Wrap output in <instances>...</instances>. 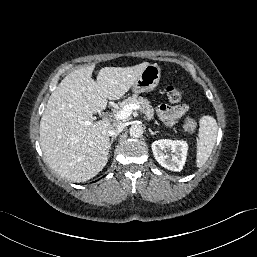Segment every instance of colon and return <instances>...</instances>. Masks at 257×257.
I'll list each match as a JSON object with an SVG mask.
<instances>
[{"instance_id":"5ec220e1","label":"colon","mask_w":257,"mask_h":257,"mask_svg":"<svg viewBox=\"0 0 257 257\" xmlns=\"http://www.w3.org/2000/svg\"><path fill=\"white\" fill-rule=\"evenodd\" d=\"M166 96L171 102H179L182 100L184 93L178 86L169 85L166 88ZM184 125L187 129H193L195 127V122L192 119H186Z\"/></svg>"}]
</instances>
